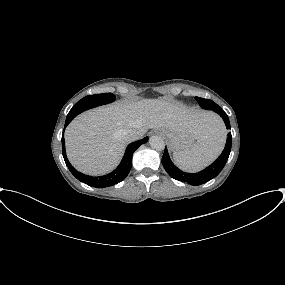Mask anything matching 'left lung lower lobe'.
Returning a JSON list of instances; mask_svg holds the SVG:
<instances>
[{"label":"left lung lower lobe","mask_w":285,"mask_h":285,"mask_svg":"<svg viewBox=\"0 0 285 285\" xmlns=\"http://www.w3.org/2000/svg\"><path fill=\"white\" fill-rule=\"evenodd\" d=\"M215 112L223 118L227 129H229L230 122H229L227 114L221 108L216 109ZM231 139H232L231 133H228L226 145H225V148L222 154L219 156V158L214 163H212L206 169L198 173H186L178 169L170 160L167 149H165L164 151V154L162 157V164L165 170L167 171V173L176 180L187 182L190 185H194V186L204 184L207 181L215 178L224 168L228 160L230 151H231V143H232Z\"/></svg>","instance_id":"0a47b994"}]
</instances>
